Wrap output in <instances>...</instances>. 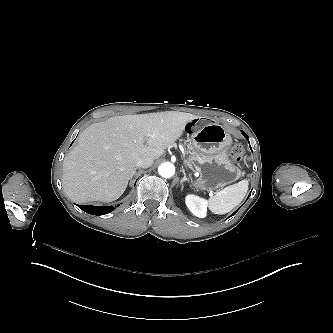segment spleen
I'll list each match as a JSON object with an SVG mask.
<instances>
[{"label": "spleen", "instance_id": "spleen-1", "mask_svg": "<svg viewBox=\"0 0 333 333\" xmlns=\"http://www.w3.org/2000/svg\"><path fill=\"white\" fill-rule=\"evenodd\" d=\"M248 180L229 185L220 190L216 195L209 198V209L214 214H226L237 207L248 192Z\"/></svg>", "mask_w": 333, "mask_h": 333}]
</instances>
